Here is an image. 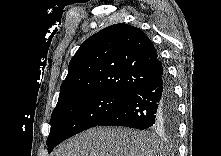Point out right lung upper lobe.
<instances>
[{"label":"right lung upper lobe","mask_w":221,"mask_h":156,"mask_svg":"<svg viewBox=\"0 0 221 156\" xmlns=\"http://www.w3.org/2000/svg\"><path fill=\"white\" fill-rule=\"evenodd\" d=\"M68 68L57 104L98 92L131 96L164 71L151 40L139 28L124 23L89 37Z\"/></svg>","instance_id":"obj_1"}]
</instances>
